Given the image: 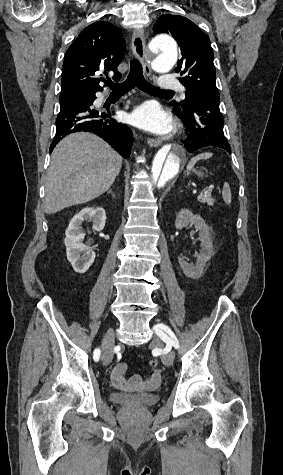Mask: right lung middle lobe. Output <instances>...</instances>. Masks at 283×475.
I'll use <instances>...</instances> for the list:
<instances>
[{
	"label": "right lung middle lobe",
	"mask_w": 283,
	"mask_h": 475,
	"mask_svg": "<svg viewBox=\"0 0 283 475\" xmlns=\"http://www.w3.org/2000/svg\"><path fill=\"white\" fill-rule=\"evenodd\" d=\"M90 94H95V93L83 92V91H79V90L72 89V88L61 89L60 102L64 101V100L71 99L73 97H78V96H82V95H90Z\"/></svg>",
	"instance_id": "right-lung-middle-lobe-1"
}]
</instances>
